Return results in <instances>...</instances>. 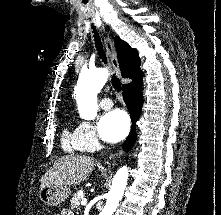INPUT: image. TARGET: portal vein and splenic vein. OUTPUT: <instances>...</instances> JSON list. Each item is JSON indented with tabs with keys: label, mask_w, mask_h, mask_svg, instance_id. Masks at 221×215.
<instances>
[{
	"label": "portal vein and splenic vein",
	"mask_w": 221,
	"mask_h": 215,
	"mask_svg": "<svg viewBox=\"0 0 221 215\" xmlns=\"http://www.w3.org/2000/svg\"><path fill=\"white\" fill-rule=\"evenodd\" d=\"M86 203H87V199L86 198H82L81 205H85Z\"/></svg>",
	"instance_id": "obj_1"
}]
</instances>
